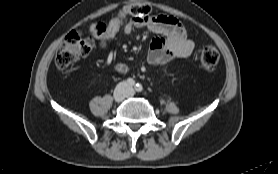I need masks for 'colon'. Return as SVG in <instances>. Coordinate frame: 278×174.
<instances>
[{"label": "colon", "instance_id": "5ec220e1", "mask_svg": "<svg viewBox=\"0 0 278 174\" xmlns=\"http://www.w3.org/2000/svg\"><path fill=\"white\" fill-rule=\"evenodd\" d=\"M150 13V7L143 2H131L125 5L121 11L109 22H95L91 25V33L96 38H113L120 26L128 16L146 15ZM94 46L92 37L84 36L80 31L70 32L59 46L55 56V64L64 69L77 60L86 57ZM219 52L214 46H206L200 55V65L206 71H213L219 62Z\"/></svg>", "mask_w": 278, "mask_h": 174}]
</instances>
